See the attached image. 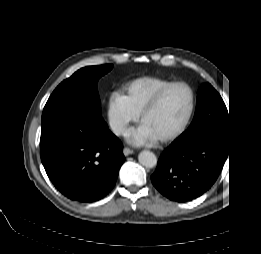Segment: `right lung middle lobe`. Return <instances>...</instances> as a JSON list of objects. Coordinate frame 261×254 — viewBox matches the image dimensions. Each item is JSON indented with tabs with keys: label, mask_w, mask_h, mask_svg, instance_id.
Wrapping results in <instances>:
<instances>
[{
	"label": "right lung middle lobe",
	"mask_w": 261,
	"mask_h": 254,
	"mask_svg": "<svg viewBox=\"0 0 261 254\" xmlns=\"http://www.w3.org/2000/svg\"><path fill=\"white\" fill-rule=\"evenodd\" d=\"M112 67V64H108L78 70L59 84L49 97L45 107L75 105L93 116L100 117L101 106L97 92V81Z\"/></svg>",
	"instance_id": "obj_1"
}]
</instances>
